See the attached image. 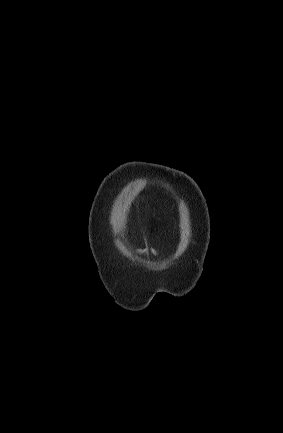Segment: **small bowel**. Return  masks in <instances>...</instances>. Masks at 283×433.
<instances>
[{
  "label": "small bowel",
  "mask_w": 283,
  "mask_h": 433,
  "mask_svg": "<svg viewBox=\"0 0 283 433\" xmlns=\"http://www.w3.org/2000/svg\"><path fill=\"white\" fill-rule=\"evenodd\" d=\"M137 253L148 260H152L153 258H159L162 256L161 252L155 247L142 248L137 250Z\"/></svg>",
  "instance_id": "small-bowel-1"
}]
</instances>
